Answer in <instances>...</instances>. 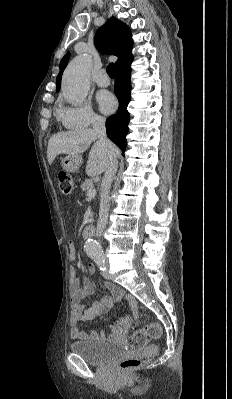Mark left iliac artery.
Instances as JSON below:
<instances>
[{"label": "left iliac artery", "instance_id": "left-iliac-artery-1", "mask_svg": "<svg viewBox=\"0 0 232 399\" xmlns=\"http://www.w3.org/2000/svg\"><path fill=\"white\" fill-rule=\"evenodd\" d=\"M91 257L93 260L96 262L98 265V268L102 271L106 270L107 262H106V256L104 253H92Z\"/></svg>", "mask_w": 232, "mask_h": 399}]
</instances>
